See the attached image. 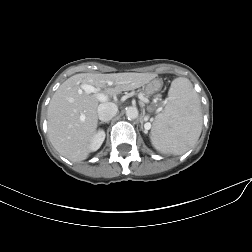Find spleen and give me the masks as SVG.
I'll return each mask as SVG.
<instances>
[{"instance_id":"3e777b00","label":"spleen","mask_w":252,"mask_h":252,"mask_svg":"<svg viewBox=\"0 0 252 252\" xmlns=\"http://www.w3.org/2000/svg\"><path fill=\"white\" fill-rule=\"evenodd\" d=\"M202 131L201 103L192 83L179 77L172 81L164 110L151 129L155 149L166 155H181L199 139Z\"/></svg>"}]
</instances>
